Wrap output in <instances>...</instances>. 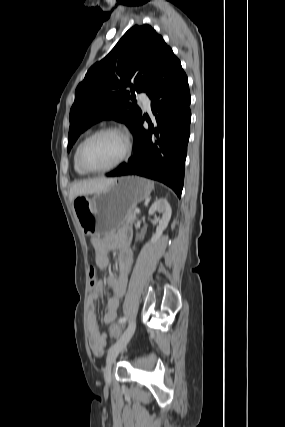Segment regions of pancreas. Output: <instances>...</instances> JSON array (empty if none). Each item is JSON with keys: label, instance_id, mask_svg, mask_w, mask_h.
I'll return each mask as SVG.
<instances>
[{"label": "pancreas", "instance_id": "obj_1", "mask_svg": "<svg viewBox=\"0 0 285 427\" xmlns=\"http://www.w3.org/2000/svg\"><path fill=\"white\" fill-rule=\"evenodd\" d=\"M135 218H136L135 210H130L127 214L126 221L128 224H132Z\"/></svg>", "mask_w": 285, "mask_h": 427}]
</instances>
